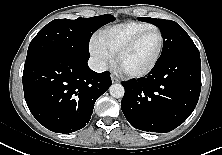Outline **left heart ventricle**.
<instances>
[{
    "label": "left heart ventricle",
    "instance_id": "b2bd125f",
    "mask_svg": "<svg viewBox=\"0 0 222 155\" xmlns=\"http://www.w3.org/2000/svg\"><path fill=\"white\" fill-rule=\"evenodd\" d=\"M160 45L159 33L152 30L145 34L129 51L119 59L124 72H138L146 69L155 59Z\"/></svg>",
    "mask_w": 222,
    "mask_h": 155
}]
</instances>
